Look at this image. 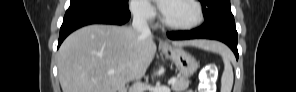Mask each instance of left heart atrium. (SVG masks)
I'll return each instance as SVG.
<instances>
[{
    "mask_svg": "<svg viewBox=\"0 0 296 92\" xmlns=\"http://www.w3.org/2000/svg\"><path fill=\"white\" fill-rule=\"evenodd\" d=\"M167 3H168V2H165V1H159V2H158L159 7H160V9H161V11H162L163 13H165V11H166Z\"/></svg>",
    "mask_w": 296,
    "mask_h": 92,
    "instance_id": "1",
    "label": "left heart atrium"
}]
</instances>
